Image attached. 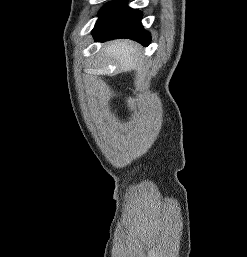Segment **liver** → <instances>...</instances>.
Listing matches in <instances>:
<instances>
[{
	"label": "liver",
	"mask_w": 247,
	"mask_h": 257,
	"mask_svg": "<svg viewBox=\"0 0 247 257\" xmlns=\"http://www.w3.org/2000/svg\"><path fill=\"white\" fill-rule=\"evenodd\" d=\"M105 53L119 63L121 71L134 69L140 60L137 47L128 40L111 42L105 47Z\"/></svg>",
	"instance_id": "6515ba94"
}]
</instances>
